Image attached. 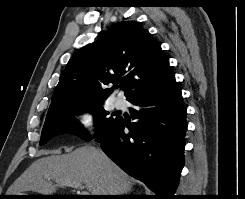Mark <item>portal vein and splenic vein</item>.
Segmentation results:
<instances>
[{
	"label": "portal vein and splenic vein",
	"instance_id": "portal-vein-and-splenic-vein-1",
	"mask_svg": "<svg viewBox=\"0 0 245 199\" xmlns=\"http://www.w3.org/2000/svg\"><path fill=\"white\" fill-rule=\"evenodd\" d=\"M57 183L60 184V185H67V186H71V187H73L75 189L81 190L80 195H90L89 192L82 190L83 186H82L81 182H79V181H76V180H73V181H59Z\"/></svg>",
	"mask_w": 245,
	"mask_h": 199
}]
</instances>
